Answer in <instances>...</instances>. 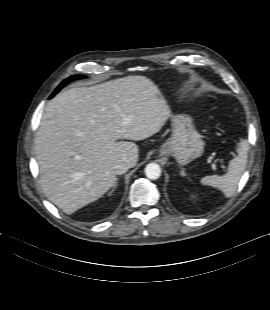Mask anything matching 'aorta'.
<instances>
[{"instance_id": "obj_1", "label": "aorta", "mask_w": 270, "mask_h": 310, "mask_svg": "<svg viewBox=\"0 0 270 310\" xmlns=\"http://www.w3.org/2000/svg\"><path fill=\"white\" fill-rule=\"evenodd\" d=\"M145 175L152 180H156L161 175V168L156 163H149L145 167Z\"/></svg>"}]
</instances>
